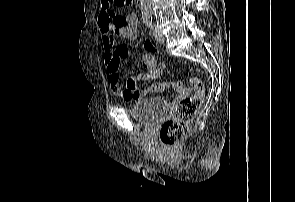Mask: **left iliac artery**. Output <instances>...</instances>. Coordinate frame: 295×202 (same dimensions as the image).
Wrapping results in <instances>:
<instances>
[{"label": "left iliac artery", "mask_w": 295, "mask_h": 202, "mask_svg": "<svg viewBox=\"0 0 295 202\" xmlns=\"http://www.w3.org/2000/svg\"><path fill=\"white\" fill-rule=\"evenodd\" d=\"M149 25H150V27H151V29H152V24H151V23H149Z\"/></svg>", "instance_id": "1"}]
</instances>
